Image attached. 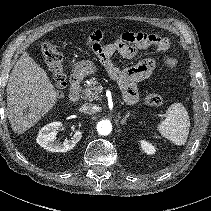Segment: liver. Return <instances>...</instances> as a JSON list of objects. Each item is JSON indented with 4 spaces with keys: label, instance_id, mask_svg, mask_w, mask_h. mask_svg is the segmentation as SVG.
I'll return each instance as SVG.
<instances>
[{
    "label": "liver",
    "instance_id": "6515ba94",
    "mask_svg": "<svg viewBox=\"0 0 211 211\" xmlns=\"http://www.w3.org/2000/svg\"><path fill=\"white\" fill-rule=\"evenodd\" d=\"M59 96L45 70L23 52L7 86V116L12 130L19 135L33 127L55 106Z\"/></svg>",
    "mask_w": 211,
    "mask_h": 211
}]
</instances>
